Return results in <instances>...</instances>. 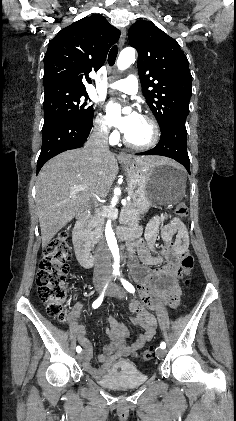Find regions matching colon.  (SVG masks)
I'll use <instances>...</instances> for the list:
<instances>
[{
    "instance_id": "obj_1",
    "label": "colon",
    "mask_w": 236,
    "mask_h": 421,
    "mask_svg": "<svg viewBox=\"0 0 236 421\" xmlns=\"http://www.w3.org/2000/svg\"><path fill=\"white\" fill-rule=\"evenodd\" d=\"M176 214L185 218L188 214L187 206L183 203L178 204ZM70 259L71 249L68 234L61 231L46 246L37 273L38 296L44 303L48 315L60 322H65L69 316L66 298L68 293V262ZM194 264L193 255L185 251L180 262V274L184 278L185 285L189 284L188 276L193 270ZM142 356L144 360H152L154 357L153 349L144 350Z\"/></svg>"
}]
</instances>
